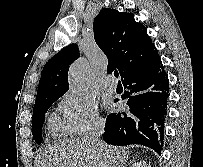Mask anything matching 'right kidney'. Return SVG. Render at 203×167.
Masks as SVG:
<instances>
[{
	"instance_id": "right-kidney-1",
	"label": "right kidney",
	"mask_w": 203,
	"mask_h": 167,
	"mask_svg": "<svg viewBox=\"0 0 203 167\" xmlns=\"http://www.w3.org/2000/svg\"><path fill=\"white\" fill-rule=\"evenodd\" d=\"M132 167H151L150 164H147L145 161H140L133 164Z\"/></svg>"
}]
</instances>
